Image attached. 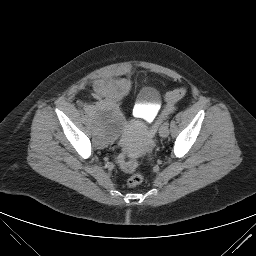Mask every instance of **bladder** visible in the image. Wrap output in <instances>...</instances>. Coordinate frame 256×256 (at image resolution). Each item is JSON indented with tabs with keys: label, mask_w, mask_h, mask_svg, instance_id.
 Masks as SVG:
<instances>
[{
	"label": "bladder",
	"mask_w": 256,
	"mask_h": 256,
	"mask_svg": "<svg viewBox=\"0 0 256 256\" xmlns=\"http://www.w3.org/2000/svg\"><path fill=\"white\" fill-rule=\"evenodd\" d=\"M102 92L125 90V84L111 80H102ZM140 101L143 105H155L160 102V93L154 87H144L140 92ZM97 140L102 146L117 141L122 134L123 118L120 110L108 102H100L90 106Z\"/></svg>",
	"instance_id": "1"
}]
</instances>
